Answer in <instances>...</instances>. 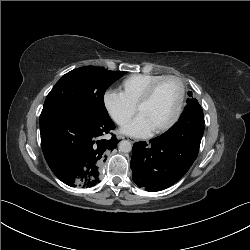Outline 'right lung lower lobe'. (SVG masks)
Segmentation results:
<instances>
[{
    "mask_svg": "<svg viewBox=\"0 0 250 250\" xmlns=\"http://www.w3.org/2000/svg\"><path fill=\"white\" fill-rule=\"evenodd\" d=\"M115 128L108 115H63L40 123L41 147L53 173L69 186L93 187L117 139H101Z\"/></svg>",
    "mask_w": 250,
    "mask_h": 250,
    "instance_id": "obj_1",
    "label": "right lung lower lobe"
}]
</instances>
